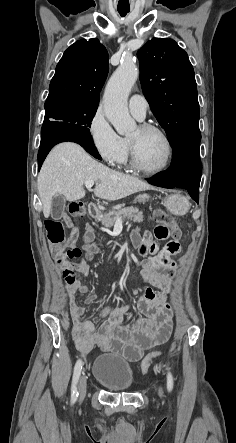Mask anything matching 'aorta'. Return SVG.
Segmentation results:
<instances>
[{
  "label": "aorta",
  "instance_id": "1",
  "mask_svg": "<svg viewBox=\"0 0 236 443\" xmlns=\"http://www.w3.org/2000/svg\"><path fill=\"white\" fill-rule=\"evenodd\" d=\"M138 76L139 71L134 62L125 60L113 73L105 88V115L120 135H128L136 127L129 114L127 100Z\"/></svg>",
  "mask_w": 236,
  "mask_h": 443
}]
</instances>
